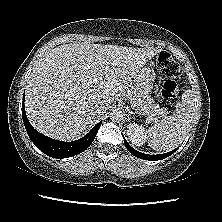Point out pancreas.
<instances>
[{
	"label": "pancreas",
	"mask_w": 222,
	"mask_h": 222,
	"mask_svg": "<svg viewBox=\"0 0 222 222\" xmlns=\"http://www.w3.org/2000/svg\"><path fill=\"white\" fill-rule=\"evenodd\" d=\"M124 94L135 105V110L142 115L158 119L165 117L167 114L164 107L155 104L150 96L139 93L134 88L127 89Z\"/></svg>",
	"instance_id": "cf45deb5"
}]
</instances>
